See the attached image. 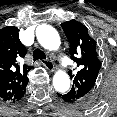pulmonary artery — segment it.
Returning <instances> with one entry per match:
<instances>
[{
  "instance_id": "obj_1",
  "label": "pulmonary artery",
  "mask_w": 117,
  "mask_h": 117,
  "mask_svg": "<svg viewBox=\"0 0 117 117\" xmlns=\"http://www.w3.org/2000/svg\"><path fill=\"white\" fill-rule=\"evenodd\" d=\"M59 59H60L62 65H63L64 67H67V66H68V63H67L66 59H65L63 56H60Z\"/></svg>"
}]
</instances>
